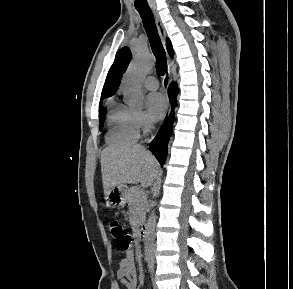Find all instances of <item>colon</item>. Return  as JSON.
Listing matches in <instances>:
<instances>
[{"label": "colon", "instance_id": "1", "mask_svg": "<svg viewBox=\"0 0 293 289\" xmlns=\"http://www.w3.org/2000/svg\"><path fill=\"white\" fill-rule=\"evenodd\" d=\"M109 229L116 241V244L122 251H129L132 243V236L129 231L118 221H111Z\"/></svg>", "mask_w": 293, "mask_h": 289}]
</instances>
